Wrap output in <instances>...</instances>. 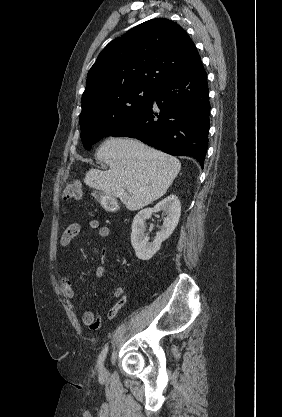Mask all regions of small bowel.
Segmentation results:
<instances>
[{
    "instance_id": "1",
    "label": "small bowel",
    "mask_w": 282,
    "mask_h": 417,
    "mask_svg": "<svg viewBox=\"0 0 282 417\" xmlns=\"http://www.w3.org/2000/svg\"><path fill=\"white\" fill-rule=\"evenodd\" d=\"M89 227L92 230H97L100 238L108 239L111 235V230L108 226H100L97 220H91L89 222ZM81 224L79 222L70 223L60 237V245L62 248H66L70 245L72 240L80 233ZM62 268H66V264L62 263ZM95 275L99 280H105L107 278V270L104 266H100L96 269ZM61 286L64 295L68 299L75 298V291L72 287V283L67 276L61 277ZM110 298L116 299V302L108 311V318L110 320L114 319L119 310L126 304L127 296L125 295L124 288L122 286H116L112 289L109 294ZM83 322L89 327L90 330L96 331L100 327L99 315L95 311L88 310L83 314Z\"/></svg>"
}]
</instances>
